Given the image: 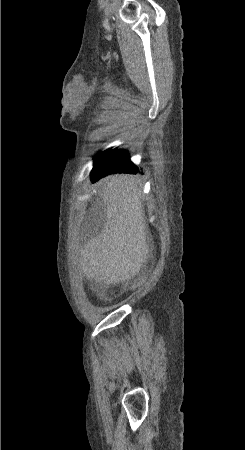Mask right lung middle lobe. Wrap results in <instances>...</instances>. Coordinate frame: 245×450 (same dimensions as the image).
Masks as SVG:
<instances>
[{
  "label": "right lung middle lobe",
  "instance_id": "right-lung-middle-lobe-1",
  "mask_svg": "<svg viewBox=\"0 0 245 450\" xmlns=\"http://www.w3.org/2000/svg\"><path fill=\"white\" fill-rule=\"evenodd\" d=\"M111 152H113V151L104 152V153H101V154H98V155L94 156V159H95L94 160V167L97 166L104 159V157L107 154L111 153Z\"/></svg>",
  "mask_w": 245,
  "mask_h": 450
}]
</instances>
